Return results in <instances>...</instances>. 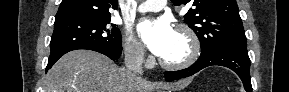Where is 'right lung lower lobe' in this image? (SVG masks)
Masks as SVG:
<instances>
[{
    "instance_id": "1",
    "label": "right lung lower lobe",
    "mask_w": 289,
    "mask_h": 92,
    "mask_svg": "<svg viewBox=\"0 0 289 92\" xmlns=\"http://www.w3.org/2000/svg\"><path fill=\"white\" fill-rule=\"evenodd\" d=\"M77 49H88V50H93V51H97L99 53H102L106 56H108L110 59L112 60H117L120 55H121V50L122 47H117V48H112V47H107V46H103V45H86V46H82L79 47ZM76 50V49H73ZM71 50L62 52L54 57H49V61L46 67V72L54 65V63L61 57L63 56L65 53L69 52Z\"/></svg>"
}]
</instances>
